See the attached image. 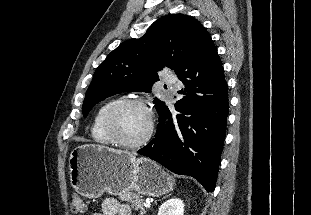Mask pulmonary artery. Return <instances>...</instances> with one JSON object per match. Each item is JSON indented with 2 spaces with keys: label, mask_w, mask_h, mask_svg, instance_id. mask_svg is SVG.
Segmentation results:
<instances>
[{
  "label": "pulmonary artery",
  "mask_w": 311,
  "mask_h": 215,
  "mask_svg": "<svg viewBox=\"0 0 311 215\" xmlns=\"http://www.w3.org/2000/svg\"><path fill=\"white\" fill-rule=\"evenodd\" d=\"M164 82L167 84H175L176 78L173 75L167 73L164 75Z\"/></svg>",
  "instance_id": "1"
}]
</instances>
